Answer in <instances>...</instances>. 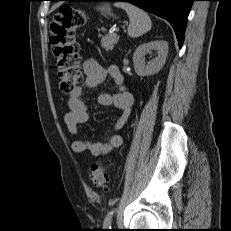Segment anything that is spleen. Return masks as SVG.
I'll list each match as a JSON object with an SVG mask.
<instances>
[{"label": "spleen", "instance_id": "1", "mask_svg": "<svg viewBox=\"0 0 231 231\" xmlns=\"http://www.w3.org/2000/svg\"><path fill=\"white\" fill-rule=\"evenodd\" d=\"M114 5L126 11L130 20L128 27V35L130 37H140L151 29V19L142 9L127 2H116Z\"/></svg>", "mask_w": 231, "mask_h": 231}]
</instances>
